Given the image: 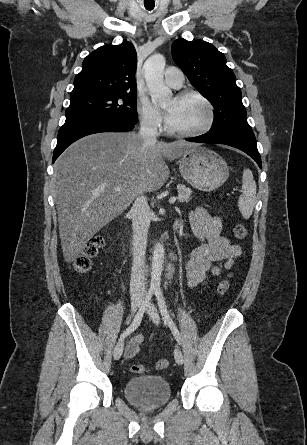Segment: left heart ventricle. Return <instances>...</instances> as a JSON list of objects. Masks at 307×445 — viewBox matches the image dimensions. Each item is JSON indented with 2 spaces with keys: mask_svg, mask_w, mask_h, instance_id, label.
I'll use <instances>...</instances> for the list:
<instances>
[{
  "mask_svg": "<svg viewBox=\"0 0 307 445\" xmlns=\"http://www.w3.org/2000/svg\"><path fill=\"white\" fill-rule=\"evenodd\" d=\"M163 106L172 112L169 123L179 131H194L202 127L208 119L207 108L196 99L171 97Z\"/></svg>",
  "mask_w": 307,
  "mask_h": 445,
  "instance_id": "left-heart-ventricle-1",
  "label": "left heart ventricle"
}]
</instances>
